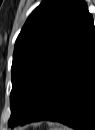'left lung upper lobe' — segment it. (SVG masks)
Masks as SVG:
<instances>
[{
  "label": "left lung upper lobe",
  "mask_w": 95,
  "mask_h": 130,
  "mask_svg": "<svg viewBox=\"0 0 95 130\" xmlns=\"http://www.w3.org/2000/svg\"><path fill=\"white\" fill-rule=\"evenodd\" d=\"M90 20L86 4L77 0H47L30 15L15 45L9 124L27 113L52 68Z\"/></svg>",
  "instance_id": "1"
}]
</instances>
